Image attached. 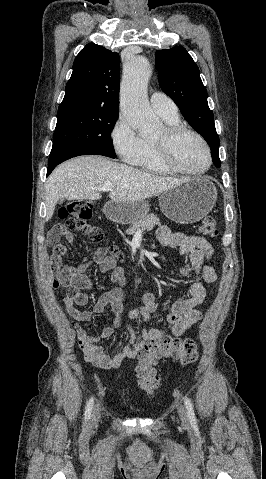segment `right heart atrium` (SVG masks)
I'll return each mask as SVG.
<instances>
[{
	"label": "right heart atrium",
	"instance_id": "right-heart-atrium-1",
	"mask_svg": "<svg viewBox=\"0 0 266 479\" xmlns=\"http://www.w3.org/2000/svg\"><path fill=\"white\" fill-rule=\"evenodd\" d=\"M111 142L119 157L131 164L139 159L144 150L143 138L123 115L118 117L111 130Z\"/></svg>",
	"mask_w": 266,
	"mask_h": 479
}]
</instances>
